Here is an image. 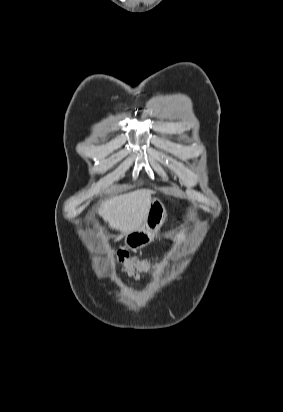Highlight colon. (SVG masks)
<instances>
[{
  "label": "colon",
  "mask_w": 283,
  "mask_h": 412,
  "mask_svg": "<svg viewBox=\"0 0 283 412\" xmlns=\"http://www.w3.org/2000/svg\"><path fill=\"white\" fill-rule=\"evenodd\" d=\"M115 259L123 272L137 278L148 274L153 264L150 260H140L138 258L130 257L123 250L116 251Z\"/></svg>",
  "instance_id": "1"
}]
</instances>
